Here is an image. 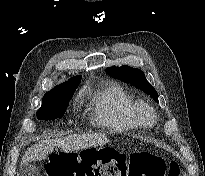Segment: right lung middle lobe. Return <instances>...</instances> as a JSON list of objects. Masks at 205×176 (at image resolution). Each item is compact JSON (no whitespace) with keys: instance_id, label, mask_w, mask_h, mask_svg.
Instances as JSON below:
<instances>
[{"instance_id":"dd1d6c3e","label":"right lung middle lobe","mask_w":205,"mask_h":176,"mask_svg":"<svg viewBox=\"0 0 205 176\" xmlns=\"http://www.w3.org/2000/svg\"><path fill=\"white\" fill-rule=\"evenodd\" d=\"M75 90H66L57 92L42 99V105L37 111V117L40 120H53L61 118L68 106V103Z\"/></svg>"}]
</instances>
